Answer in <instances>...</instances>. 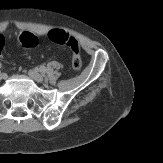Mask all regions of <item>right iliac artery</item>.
I'll use <instances>...</instances> for the list:
<instances>
[{
    "mask_svg": "<svg viewBox=\"0 0 163 163\" xmlns=\"http://www.w3.org/2000/svg\"><path fill=\"white\" fill-rule=\"evenodd\" d=\"M2 67V64L0 63V68ZM1 73V72H0Z\"/></svg>",
    "mask_w": 163,
    "mask_h": 163,
    "instance_id": "right-iliac-artery-1",
    "label": "right iliac artery"
}]
</instances>
